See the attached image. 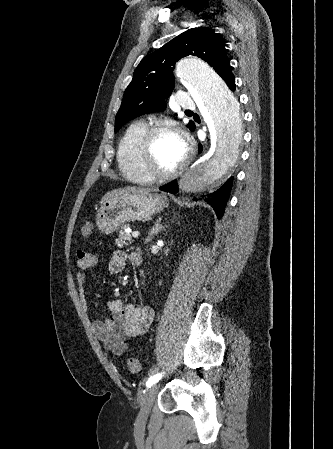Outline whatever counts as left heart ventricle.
Wrapping results in <instances>:
<instances>
[{
	"instance_id": "obj_1",
	"label": "left heart ventricle",
	"mask_w": 333,
	"mask_h": 449,
	"mask_svg": "<svg viewBox=\"0 0 333 449\" xmlns=\"http://www.w3.org/2000/svg\"><path fill=\"white\" fill-rule=\"evenodd\" d=\"M185 156L181 138L170 132H161L154 140L152 165L155 169L168 172L176 168Z\"/></svg>"
}]
</instances>
